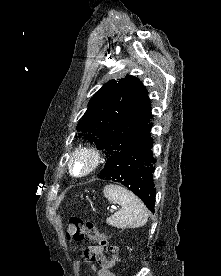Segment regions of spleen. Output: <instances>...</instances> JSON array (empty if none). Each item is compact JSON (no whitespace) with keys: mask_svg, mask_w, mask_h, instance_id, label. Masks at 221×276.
Returning <instances> with one entry per match:
<instances>
[{"mask_svg":"<svg viewBox=\"0 0 221 276\" xmlns=\"http://www.w3.org/2000/svg\"><path fill=\"white\" fill-rule=\"evenodd\" d=\"M108 201L121 206L114 215L107 218L109 225L120 228H138L146 224L149 214L144 203L128 189L109 184L103 189Z\"/></svg>","mask_w":221,"mask_h":276,"instance_id":"3e777b00","label":"spleen"}]
</instances>
